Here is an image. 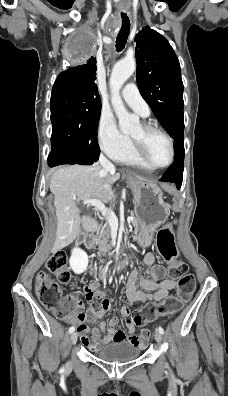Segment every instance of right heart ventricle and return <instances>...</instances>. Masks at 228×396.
<instances>
[{
    "label": "right heart ventricle",
    "instance_id": "1",
    "mask_svg": "<svg viewBox=\"0 0 228 396\" xmlns=\"http://www.w3.org/2000/svg\"><path fill=\"white\" fill-rule=\"evenodd\" d=\"M119 162L122 163H126V164H130L133 165L135 167L138 168H142V169H148L146 166H144L139 159L137 158V156L134 153L133 148L131 147L130 150L122 157L118 160Z\"/></svg>",
    "mask_w": 228,
    "mask_h": 396
}]
</instances>
